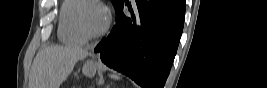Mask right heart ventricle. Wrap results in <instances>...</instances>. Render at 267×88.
I'll return each instance as SVG.
<instances>
[{
  "label": "right heart ventricle",
  "instance_id": "1",
  "mask_svg": "<svg viewBox=\"0 0 267 88\" xmlns=\"http://www.w3.org/2000/svg\"><path fill=\"white\" fill-rule=\"evenodd\" d=\"M81 3L83 1L67 0L62 4L58 34L60 40L67 45L82 46L87 41L77 24V8Z\"/></svg>",
  "mask_w": 267,
  "mask_h": 88
}]
</instances>
